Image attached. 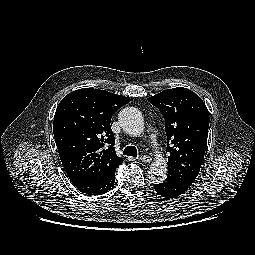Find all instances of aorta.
<instances>
[{
    "mask_svg": "<svg viewBox=\"0 0 255 255\" xmlns=\"http://www.w3.org/2000/svg\"><path fill=\"white\" fill-rule=\"evenodd\" d=\"M118 121L124 132L131 136L142 134L144 118L140 110L135 107H125L118 115ZM167 162L162 156H157L151 163L148 175L154 182H162L167 177Z\"/></svg>",
    "mask_w": 255,
    "mask_h": 255,
    "instance_id": "obj_1",
    "label": "aorta"
}]
</instances>
